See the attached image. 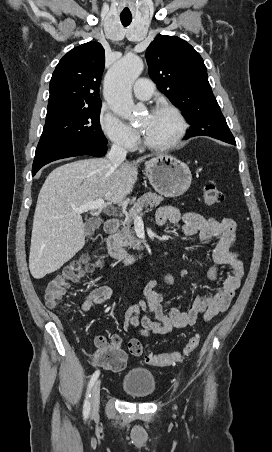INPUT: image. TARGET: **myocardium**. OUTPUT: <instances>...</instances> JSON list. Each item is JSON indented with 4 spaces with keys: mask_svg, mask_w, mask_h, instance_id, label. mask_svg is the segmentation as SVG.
<instances>
[{
    "mask_svg": "<svg viewBox=\"0 0 272 452\" xmlns=\"http://www.w3.org/2000/svg\"><path fill=\"white\" fill-rule=\"evenodd\" d=\"M158 112H166L174 117V119L177 122V129L174 134V136L167 142L164 143H151L148 142L143 136L140 138V142L142 146L151 149V150H157V151H163L168 150L171 148L176 147L184 138L186 131H187V122L182 115V113L174 106L164 104V105H157L152 108L151 114H155Z\"/></svg>",
    "mask_w": 272,
    "mask_h": 452,
    "instance_id": "obj_1",
    "label": "myocardium"
}]
</instances>
